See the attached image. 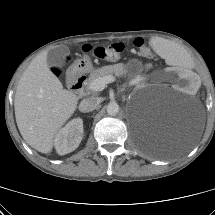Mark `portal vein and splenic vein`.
<instances>
[{
    "label": "portal vein and splenic vein",
    "mask_w": 215,
    "mask_h": 215,
    "mask_svg": "<svg viewBox=\"0 0 215 215\" xmlns=\"http://www.w3.org/2000/svg\"><path fill=\"white\" fill-rule=\"evenodd\" d=\"M114 81L115 77L112 75L97 78L90 83L89 89L93 91H102L106 87V84L112 83Z\"/></svg>",
    "instance_id": "obj_1"
}]
</instances>
